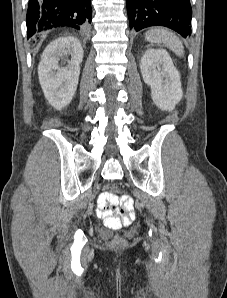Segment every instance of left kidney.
<instances>
[{"instance_id":"obj_1","label":"left kidney","mask_w":227,"mask_h":298,"mask_svg":"<svg viewBox=\"0 0 227 298\" xmlns=\"http://www.w3.org/2000/svg\"><path fill=\"white\" fill-rule=\"evenodd\" d=\"M143 80L161 110L171 111L183 97L180 74L165 49H148L140 61Z\"/></svg>"}]
</instances>
